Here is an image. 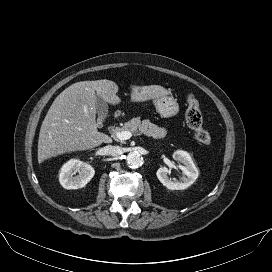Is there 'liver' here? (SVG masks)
<instances>
[{"label":"liver","mask_w":272,"mask_h":272,"mask_svg":"<svg viewBox=\"0 0 272 272\" xmlns=\"http://www.w3.org/2000/svg\"><path fill=\"white\" fill-rule=\"evenodd\" d=\"M118 85L107 79L80 81L62 91L53 101L41 125L38 140V162L74 151L89 150L110 143L111 138L99 132L96 122V96L112 105L120 104ZM130 101L139 103L167 96L160 85H131Z\"/></svg>","instance_id":"1"}]
</instances>
